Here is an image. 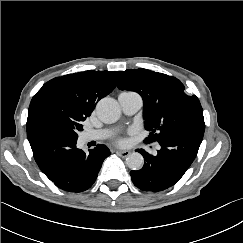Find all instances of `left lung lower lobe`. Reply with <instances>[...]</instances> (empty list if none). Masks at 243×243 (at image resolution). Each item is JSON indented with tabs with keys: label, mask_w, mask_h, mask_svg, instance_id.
Instances as JSON below:
<instances>
[{
	"label": "left lung lower lobe",
	"mask_w": 243,
	"mask_h": 243,
	"mask_svg": "<svg viewBox=\"0 0 243 243\" xmlns=\"http://www.w3.org/2000/svg\"><path fill=\"white\" fill-rule=\"evenodd\" d=\"M205 124L184 126L159 142L156 156L138 150L144 157L142 169L131 171L135 186L143 191L159 192L178 182L194 161L202 142Z\"/></svg>",
	"instance_id": "obj_1"
}]
</instances>
